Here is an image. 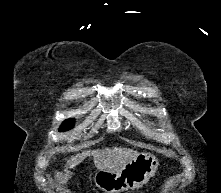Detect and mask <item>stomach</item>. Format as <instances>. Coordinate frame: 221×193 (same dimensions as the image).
<instances>
[{"label": "stomach", "mask_w": 221, "mask_h": 193, "mask_svg": "<svg viewBox=\"0 0 221 193\" xmlns=\"http://www.w3.org/2000/svg\"><path fill=\"white\" fill-rule=\"evenodd\" d=\"M159 162L149 153H140L120 170H97L94 175L96 187L105 193H120L146 184L154 176Z\"/></svg>", "instance_id": "stomach-1"}]
</instances>
